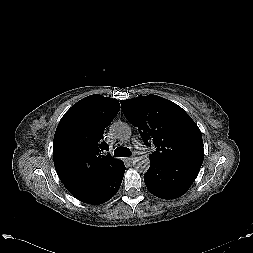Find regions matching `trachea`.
<instances>
[{
    "instance_id": "1",
    "label": "trachea",
    "mask_w": 253,
    "mask_h": 253,
    "mask_svg": "<svg viewBox=\"0 0 253 253\" xmlns=\"http://www.w3.org/2000/svg\"><path fill=\"white\" fill-rule=\"evenodd\" d=\"M131 154L130 149L124 147H117L114 151L115 157H129Z\"/></svg>"
}]
</instances>
